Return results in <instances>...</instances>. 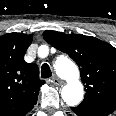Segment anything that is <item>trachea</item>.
I'll return each instance as SVG.
<instances>
[{"label":"trachea","instance_id":"3493384b","mask_svg":"<svg viewBox=\"0 0 116 116\" xmlns=\"http://www.w3.org/2000/svg\"><path fill=\"white\" fill-rule=\"evenodd\" d=\"M52 76V72L48 64L44 63L41 67V77L42 78H50Z\"/></svg>","mask_w":116,"mask_h":116}]
</instances>
